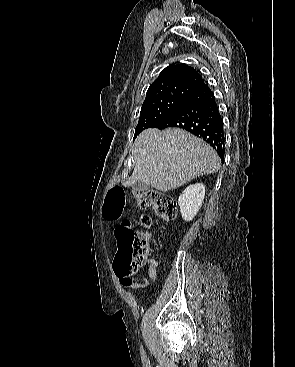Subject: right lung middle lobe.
<instances>
[{"mask_svg":"<svg viewBox=\"0 0 295 367\" xmlns=\"http://www.w3.org/2000/svg\"><path fill=\"white\" fill-rule=\"evenodd\" d=\"M195 91L188 88H171L146 96L140 111L134 139L146 128L156 126L169 116Z\"/></svg>","mask_w":295,"mask_h":367,"instance_id":"1","label":"right lung middle lobe"}]
</instances>
